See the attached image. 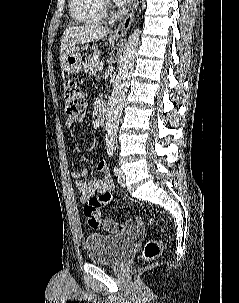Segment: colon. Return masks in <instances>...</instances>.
<instances>
[{
    "label": "colon",
    "mask_w": 239,
    "mask_h": 303,
    "mask_svg": "<svg viewBox=\"0 0 239 303\" xmlns=\"http://www.w3.org/2000/svg\"><path fill=\"white\" fill-rule=\"evenodd\" d=\"M63 98L65 113L68 118L75 119L81 116L87 107L84 91L75 80H67L63 85ZM111 201V194L103 192L99 196H92L84 206V216L88 225L92 228H99L101 225L100 209ZM148 223L156 227L161 233L163 226L153 218H148ZM160 241L156 238L149 239L143 248L142 257L145 261H152L160 254Z\"/></svg>",
    "instance_id": "colon-1"
}]
</instances>
